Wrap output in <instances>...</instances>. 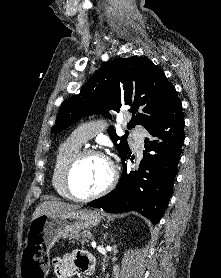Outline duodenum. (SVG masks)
Returning a JSON list of instances; mask_svg holds the SVG:
<instances>
[{"mask_svg": "<svg viewBox=\"0 0 221 278\" xmlns=\"http://www.w3.org/2000/svg\"><path fill=\"white\" fill-rule=\"evenodd\" d=\"M93 269L89 270L88 272H92Z\"/></svg>", "mask_w": 221, "mask_h": 278, "instance_id": "duodenum-1", "label": "duodenum"}]
</instances>
